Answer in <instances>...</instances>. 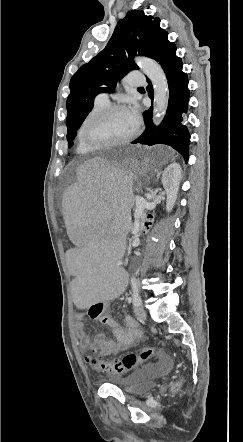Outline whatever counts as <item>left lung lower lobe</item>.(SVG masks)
Instances as JSON below:
<instances>
[{
  "label": "left lung lower lobe",
  "instance_id": "1",
  "mask_svg": "<svg viewBox=\"0 0 243 442\" xmlns=\"http://www.w3.org/2000/svg\"><path fill=\"white\" fill-rule=\"evenodd\" d=\"M159 62L166 74L169 86V102L166 115L157 128L153 125V106L144 112L146 129L144 133L134 140L132 144L141 143L149 146L166 144L177 150L184 157L189 158L190 135L183 123V116L188 109L190 91L188 89V77L182 71V60L176 55V46L166 37L154 58ZM147 91L153 99V87L148 79Z\"/></svg>",
  "mask_w": 243,
  "mask_h": 442
}]
</instances>
